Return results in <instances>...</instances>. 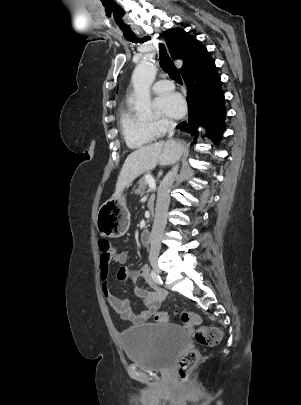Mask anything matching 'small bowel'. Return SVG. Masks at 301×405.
Masks as SVG:
<instances>
[{
	"label": "small bowel",
	"instance_id": "small-bowel-1",
	"mask_svg": "<svg viewBox=\"0 0 301 405\" xmlns=\"http://www.w3.org/2000/svg\"><path fill=\"white\" fill-rule=\"evenodd\" d=\"M128 259L126 251L110 250L108 256L101 255L100 260V279L102 281V293L111 306V308L126 321L133 324H139L148 321L157 312L162 302L166 297L163 289L157 286L149 273V268L146 265L141 266L136 270H131L125 266ZM116 263L119 265L117 278L120 281L127 282L132 286L134 294L143 300L145 310L136 314L130 308L127 299L121 298L113 294L108 283L110 264ZM143 278L149 288H144L138 284V280Z\"/></svg>",
	"mask_w": 301,
	"mask_h": 405
}]
</instances>
